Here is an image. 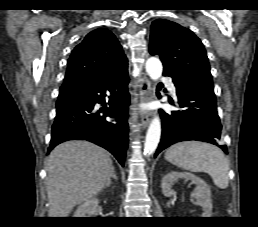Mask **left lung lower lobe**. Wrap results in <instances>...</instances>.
Masks as SVG:
<instances>
[{"mask_svg":"<svg viewBox=\"0 0 258 227\" xmlns=\"http://www.w3.org/2000/svg\"><path fill=\"white\" fill-rule=\"evenodd\" d=\"M178 104L183 110L166 113L160 110L162 136L155 157L170 145L186 140L212 143L227 152L221 145V123L217 114L214 89L173 79ZM172 103V102H171Z\"/></svg>","mask_w":258,"mask_h":227,"instance_id":"1","label":"left lung lower lobe"}]
</instances>
